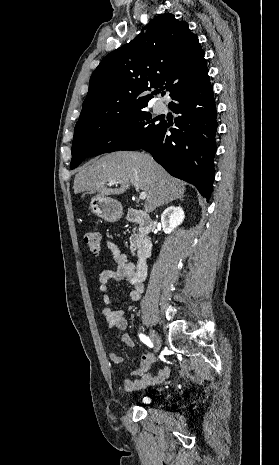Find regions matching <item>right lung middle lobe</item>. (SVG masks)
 <instances>
[{"mask_svg": "<svg viewBox=\"0 0 279 465\" xmlns=\"http://www.w3.org/2000/svg\"><path fill=\"white\" fill-rule=\"evenodd\" d=\"M143 108L108 116L99 123L75 126L70 168H76L90 156L150 142L159 133L164 121L155 124V119H151V114Z\"/></svg>", "mask_w": 279, "mask_h": 465, "instance_id": "1", "label": "right lung middle lobe"}]
</instances>
